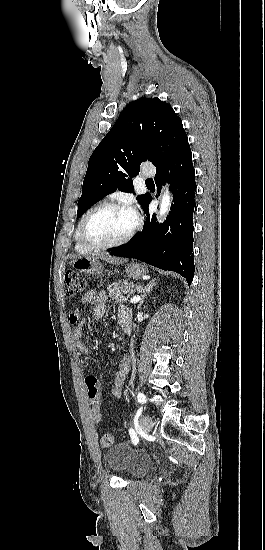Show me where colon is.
I'll list each match as a JSON object with an SVG mask.
<instances>
[{
	"instance_id": "1",
	"label": "colon",
	"mask_w": 265,
	"mask_h": 550,
	"mask_svg": "<svg viewBox=\"0 0 265 550\" xmlns=\"http://www.w3.org/2000/svg\"><path fill=\"white\" fill-rule=\"evenodd\" d=\"M66 292L70 297H76L82 294L86 287V279L76 271L69 270L65 273ZM87 393L91 402V415L94 420H100L102 417L100 410L101 391L100 384L96 377L88 376L85 379ZM103 447H110L113 444V437L109 433L101 437Z\"/></svg>"
}]
</instances>
